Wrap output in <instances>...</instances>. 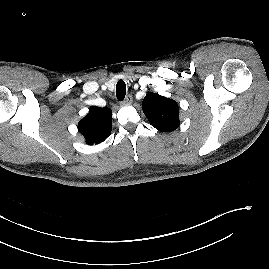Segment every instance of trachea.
<instances>
[{
  "label": "trachea",
  "mask_w": 269,
  "mask_h": 269,
  "mask_svg": "<svg viewBox=\"0 0 269 269\" xmlns=\"http://www.w3.org/2000/svg\"><path fill=\"white\" fill-rule=\"evenodd\" d=\"M126 95V84L123 80H119L116 85V96L119 101L124 100Z\"/></svg>",
  "instance_id": "3493384b"
}]
</instances>
